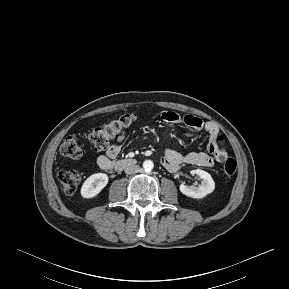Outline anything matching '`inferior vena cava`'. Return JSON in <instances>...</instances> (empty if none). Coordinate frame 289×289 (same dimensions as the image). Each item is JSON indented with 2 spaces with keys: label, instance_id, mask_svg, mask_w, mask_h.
Segmentation results:
<instances>
[{
  "label": "inferior vena cava",
  "instance_id": "inferior-vena-cava-1",
  "mask_svg": "<svg viewBox=\"0 0 289 289\" xmlns=\"http://www.w3.org/2000/svg\"><path fill=\"white\" fill-rule=\"evenodd\" d=\"M141 171V168L138 165H131L125 169L126 174H136Z\"/></svg>",
  "mask_w": 289,
  "mask_h": 289
}]
</instances>
